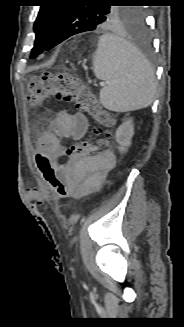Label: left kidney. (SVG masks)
I'll return each instance as SVG.
<instances>
[{
  "instance_id": "1",
  "label": "left kidney",
  "mask_w": 184,
  "mask_h": 327,
  "mask_svg": "<svg viewBox=\"0 0 184 327\" xmlns=\"http://www.w3.org/2000/svg\"><path fill=\"white\" fill-rule=\"evenodd\" d=\"M134 135L133 120L130 118L123 122L116 130L115 139L119 144L120 153H125L131 144V139Z\"/></svg>"
}]
</instances>
